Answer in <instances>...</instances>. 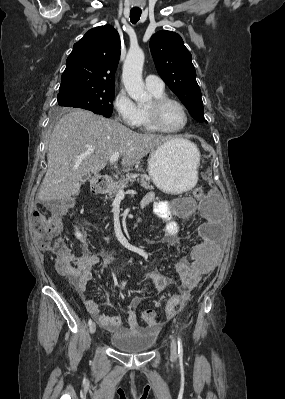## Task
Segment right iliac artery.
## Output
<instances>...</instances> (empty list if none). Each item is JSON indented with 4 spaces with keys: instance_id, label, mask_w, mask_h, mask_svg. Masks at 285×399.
<instances>
[{
    "instance_id": "1",
    "label": "right iliac artery",
    "mask_w": 285,
    "mask_h": 399,
    "mask_svg": "<svg viewBox=\"0 0 285 399\" xmlns=\"http://www.w3.org/2000/svg\"><path fill=\"white\" fill-rule=\"evenodd\" d=\"M91 324H92V320H91V319H89V321H88V325H89V326H91Z\"/></svg>"
}]
</instances>
